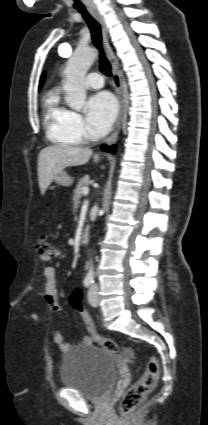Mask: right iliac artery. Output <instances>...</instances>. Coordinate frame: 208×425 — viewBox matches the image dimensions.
I'll use <instances>...</instances> for the list:
<instances>
[{
    "instance_id": "82829eb1",
    "label": "right iliac artery",
    "mask_w": 208,
    "mask_h": 425,
    "mask_svg": "<svg viewBox=\"0 0 208 425\" xmlns=\"http://www.w3.org/2000/svg\"><path fill=\"white\" fill-rule=\"evenodd\" d=\"M92 283H93V280L90 279V278H87V279L84 280V285L86 287L90 286Z\"/></svg>"
}]
</instances>
